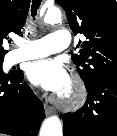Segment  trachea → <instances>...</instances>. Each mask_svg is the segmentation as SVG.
Masks as SVG:
<instances>
[{
    "instance_id": "obj_1",
    "label": "trachea",
    "mask_w": 117,
    "mask_h": 136,
    "mask_svg": "<svg viewBox=\"0 0 117 136\" xmlns=\"http://www.w3.org/2000/svg\"><path fill=\"white\" fill-rule=\"evenodd\" d=\"M42 0H32V5H31V15L34 18L37 14V10L40 7Z\"/></svg>"
}]
</instances>
